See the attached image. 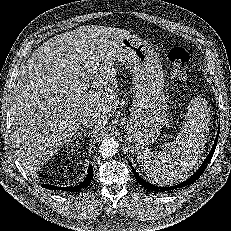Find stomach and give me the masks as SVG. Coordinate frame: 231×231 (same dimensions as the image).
<instances>
[{"label": "stomach", "instance_id": "stomach-1", "mask_svg": "<svg viewBox=\"0 0 231 231\" xmlns=\"http://www.w3.org/2000/svg\"><path fill=\"white\" fill-rule=\"evenodd\" d=\"M114 58L116 66L127 63L132 73L133 106L125 131L131 151L138 153L156 141L167 123L163 69L153 48L132 34L121 40Z\"/></svg>", "mask_w": 231, "mask_h": 231}]
</instances>
